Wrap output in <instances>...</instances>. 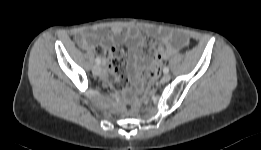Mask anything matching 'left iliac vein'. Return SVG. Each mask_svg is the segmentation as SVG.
<instances>
[{
    "label": "left iliac vein",
    "instance_id": "4c4485c4",
    "mask_svg": "<svg viewBox=\"0 0 261 150\" xmlns=\"http://www.w3.org/2000/svg\"><path fill=\"white\" fill-rule=\"evenodd\" d=\"M170 79H171V75L168 74V73H165V74L163 75L161 81H162L163 83H166V82H168Z\"/></svg>",
    "mask_w": 261,
    "mask_h": 150
}]
</instances>
